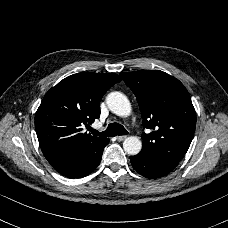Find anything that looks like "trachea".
Instances as JSON below:
<instances>
[{
  "label": "trachea",
  "instance_id": "trachea-1",
  "mask_svg": "<svg viewBox=\"0 0 228 228\" xmlns=\"http://www.w3.org/2000/svg\"><path fill=\"white\" fill-rule=\"evenodd\" d=\"M88 130L96 136H105V137H113V136H122L127 135L128 131L124 128L122 124L119 123H112L109 124L107 129L103 132H99L91 127L88 128Z\"/></svg>",
  "mask_w": 228,
  "mask_h": 228
}]
</instances>
